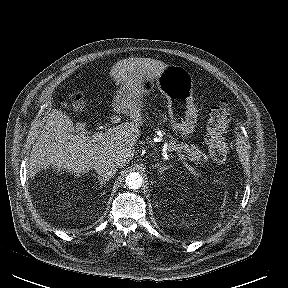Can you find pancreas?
<instances>
[{"mask_svg":"<svg viewBox=\"0 0 288 288\" xmlns=\"http://www.w3.org/2000/svg\"><path fill=\"white\" fill-rule=\"evenodd\" d=\"M169 151H177L178 153H185L191 161L197 162L200 165H204L208 162V157L205 153L202 152L198 147L188 146L187 144H179L177 140L171 137V140L168 143Z\"/></svg>","mask_w":288,"mask_h":288,"instance_id":"1","label":"pancreas"}]
</instances>
